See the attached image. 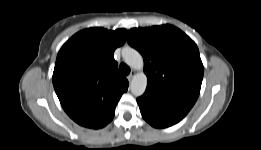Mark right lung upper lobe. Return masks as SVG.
<instances>
[{
  "mask_svg": "<svg viewBox=\"0 0 261 150\" xmlns=\"http://www.w3.org/2000/svg\"><path fill=\"white\" fill-rule=\"evenodd\" d=\"M126 30L88 28L60 49L53 85L65 112L79 125L93 128L108 118L128 81L118 71L115 49L125 43Z\"/></svg>",
  "mask_w": 261,
  "mask_h": 150,
  "instance_id": "right-lung-upper-lobe-1",
  "label": "right lung upper lobe"
}]
</instances>
